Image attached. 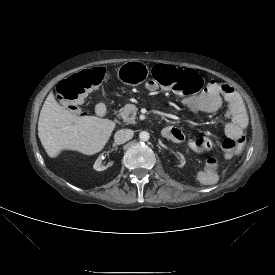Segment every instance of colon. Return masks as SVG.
<instances>
[{"mask_svg": "<svg viewBox=\"0 0 275 275\" xmlns=\"http://www.w3.org/2000/svg\"><path fill=\"white\" fill-rule=\"evenodd\" d=\"M107 76V69L102 66L75 73L61 81L58 94L62 100L77 104L88 92L100 86ZM151 83L177 94H195L203 88V81L195 71L168 65H157L152 69ZM245 142V136L239 139L228 137L222 141V151L230 158L241 151Z\"/></svg>", "mask_w": 275, "mask_h": 275, "instance_id": "1", "label": "colon"}]
</instances>
